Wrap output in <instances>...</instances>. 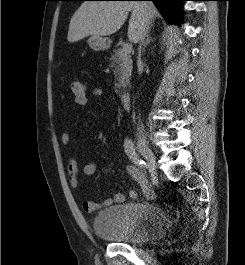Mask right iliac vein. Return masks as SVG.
<instances>
[{
	"label": "right iliac vein",
	"instance_id": "63e3f726",
	"mask_svg": "<svg viewBox=\"0 0 245 265\" xmlns=\"http://www.w3.org/2000/svg\"><path fill=\"white\" fill-rule=\"evenodd\" d=\"M137 146L141 154L147 160L149 167L154 171L156 169V158L147 142L144 139L140 138L137 141Z\"/></svg>",
	"mask_w": 245,
	"mask_h": 265
}]
</instances>
